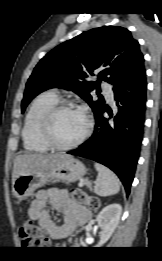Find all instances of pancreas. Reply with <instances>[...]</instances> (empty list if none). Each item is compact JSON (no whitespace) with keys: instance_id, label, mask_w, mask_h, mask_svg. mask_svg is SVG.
<instances>
[{"instance_id":"pancreas-1","label":"pancreas","mask_w":162,"mask_h":261,"mask_svg":"<svg viewBox=\"0 0 162 261\" xmlns=\"http://www.w3.org/2000/svg\"><path fill=\"white\" fill-rule=\"evenodd\" d=\"M83 183H84V185H86L87 187H89L90 190H91V184H90V182H89L88 180H84Z\"/></svg>"}]
</instances>
